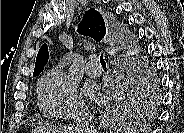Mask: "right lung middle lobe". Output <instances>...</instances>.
I'll return each instance as SVG.
<instances>
[{"instance_id": "obj_1", "label": "right lung middle lobe", "mask_w": 184, "mask_h": 133, "mask_svg": "<svg viewBox=\"0 0 184 133\" xmlns=\"http://www.w3.org/2000/svg\"><path fill=\"white\" fill-rule=\"evenodd\" d=\"M124 32L132 49V54L127 63L128 102L130 106L139 108L148 104V97L154 82L152 70L135 49L129 32L126 29H124Z\"/></svg>"}]
</instances>
